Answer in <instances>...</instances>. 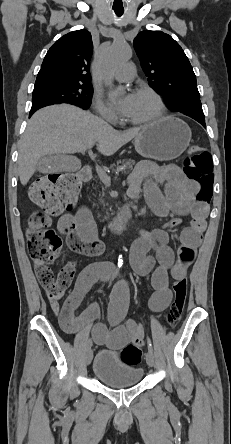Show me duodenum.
<instances>
[{"mask_svg":"<svg viewBox=\"0 0 231 444\" xmlns=\"http://www.w3.org/2000/svg\"><path fill=\"white\" fill-rule=\"evenodd\" d=\"M78 176L84 182L90 181L92 178L91 168L89 166H84L79 171ZM131 218H132V212L130 210L125 211L116 219L106 224L105 232L110 236H114L128 230L131 225ZM109 276L110 274L108 275V277Z\"/></svg>","mask_w":231,"mask_h":444,"instance_id":"obj_1","label":"duodenum"}]
</instances>
